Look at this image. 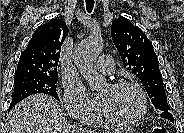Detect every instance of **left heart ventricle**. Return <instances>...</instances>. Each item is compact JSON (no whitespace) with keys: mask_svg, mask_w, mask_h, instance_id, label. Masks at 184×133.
<instances>
[{"mask_svg":"<svg viewBox=\"0 0 184 133\" xmlns=\"http://www.w3.org/2000/svg\"><path fill=\"white\" fill-rule=\"evenodd\" d=\"M99 96L102 110L115 119L130 118L139 111L140 99L132 88L105 85L101 87Z\"/></svg>","mask_w":184,"mask_h":133,"instance_id":"1","label":"left heart ventricle"}]
</instances>
